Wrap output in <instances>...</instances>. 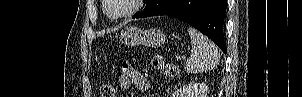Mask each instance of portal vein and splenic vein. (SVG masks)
<instances>
[{
    "label": "portal vein and splenic vein",
    "mask_w": 302,
    "mask_h": 97,
    "mask_svg": "<svg viewBox=\"0 0 302 97\" xmlns=\"http://www.w3.org/2000/svg\"><path fill=\"white\" fill-rule=\"evenodd\" d=\"M176 61H181V56H176Z\"/></svg>",
    "instance_id": "1"
}]
</instances>
